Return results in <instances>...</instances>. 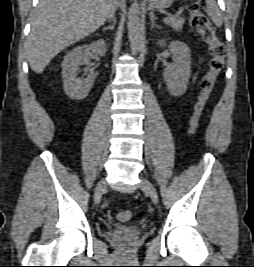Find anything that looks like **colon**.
<instances>
[{"instance_id":"colon-1","label":"colon","mask_w":254,"mask_h":267,"mask_svg":"<svg viewBox=\"0 0 254 267\" xmlns=\"http://www.w3.org/2000/svg\"><path fill=\"white\" fill-rule=\"evenodd\" d=\"M188 11L191 29L207 45L209 53L208 71L202 78L201 93L190 120L189 131L190 133H195L216 80L224 67L226 48L217 38L213 25L201 10L199 3L193 2L189 4ZM117 217L122 222L128 221L131 218V212L129 210H122L118 213Z\"/></svg>"}]
</instances>
